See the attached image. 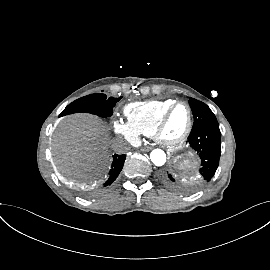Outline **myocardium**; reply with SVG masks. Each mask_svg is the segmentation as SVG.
Segmentation results:
<instances>
[{
	"mask_svg": "<svg viewBox=\"0 0 270 270\" xmlns=\"http://www.w3.org/2000/svg\"><path fill=\"white\" fill-rule=\"evenodd\" d=\"M183 105L187 108L188 111V122L187 125L185 127V129L183 130V132L174 137V138H168L164 135V129L167 123V120L171 114V112L177 107ZM192 124H193V113H192V109L190 107V105L185 102V101H176L174 102L171 106H169L164 113L162 114V116L160 117L156 128H155V132H154V137L156 139V141L164 146H175L180 144L182 141H184L186 139V137L189 135L191 128H192Z\"/></svg>",
	"mask_w": 270,
	"mask_h": 270,
	"instance_id": "f54148a6",
	"label": "myocardium"
}]
</instances>
